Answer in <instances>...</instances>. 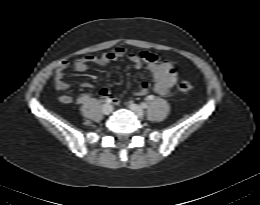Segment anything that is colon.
<instances>
[{"label": "colon", "instance_id": "colon-1", "mask_svg": "<svg viewBox=\"0 0 260 205\" xmlns=\"http://www.w3.org/2000/svg\"><path fill=\"white\" fill-rule=\"evenodd\" d=\"M177 88L181 92H189L193 89V85L188 81H180L177 85Z\"/></svg>", "mask_w": 260, "mask_h": 205}]
</instances>
